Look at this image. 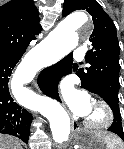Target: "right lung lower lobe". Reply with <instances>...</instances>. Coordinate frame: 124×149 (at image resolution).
<instances>
[{
	"label": "right lung lower lobe",
	"instance_id": "98d812e1",
	"mask_svg": "<svg viewBox=\"0 0 124 149\" xmlns=\"http://www.w3.org/2000/svg\"><path fill=\"white\" fill-rule=\"evenodd\" d=\"M23 53L0 55V133L16 136L27 143L32 115L14 102L8 88L9 77Z\"/></svg>",
	"mask_w": 124,
	"mask_h": 149
}]
</instances>
